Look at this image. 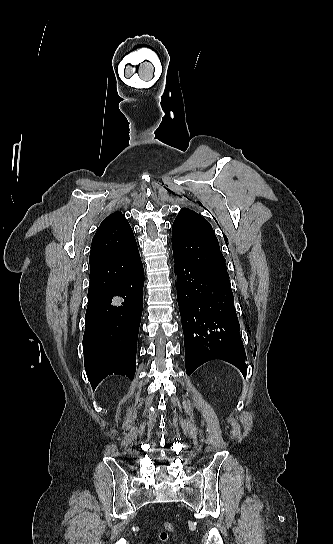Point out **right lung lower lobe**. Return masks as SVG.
<instances>
[{
  "instance_id": "1",
  "label": "right lung lower lobe",
  "mask_w": 333,
  "mask_h": 544,
  "mask_svg": "<svg viewBox=\"0 0 333 544\" xmlns=\"http://www.w3.org/2000/svg\"><path fill=\"white\" fill-rule=\"evenodd\" d=\"M143 286L140 262L111 287L88 295L83 352L93 389L108 375L134 377Z\"/></svg>"
}]
</instances>
